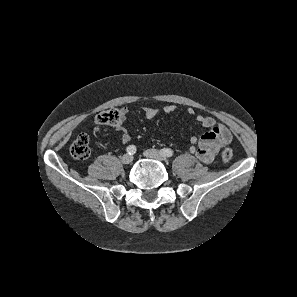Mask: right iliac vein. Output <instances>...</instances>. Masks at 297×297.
I'll return each mask as SVG.
<instances>
[{
	"label": "right iliac vein",
	"instance_id": "right-iliac-vein-1",
	"mask_svg": "<svg viewBox=\"0 0 297 297\" xmlns=\"http://www.w3.org/2000/svg\"><path fill=\"white\" fill-rule=\"evenodd\" d=\"M133 161V157L129 154H125L121 157V162L123 164H129Z\"/></svg>",
	"mask_w": 297,
	"mask_h": 297
}]
</instances>
